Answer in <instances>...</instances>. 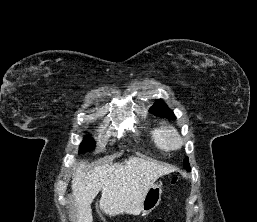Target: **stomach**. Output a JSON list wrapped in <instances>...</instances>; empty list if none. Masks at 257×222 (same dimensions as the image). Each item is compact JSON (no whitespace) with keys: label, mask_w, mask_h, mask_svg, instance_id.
<instances>
[{"label":"stomach","mask_w":257,"mask_h":222,"mask_svg":"<svg viewBox=\"0 0 257 222\" xmlns=\"http://www.w3.org/2000/svg\"><path fill=\"white\" fill-rule=\"evenodd\" d=\"M162 195L161 184H153L145 194L142 202L141 212L143 214H149L153 211L160 203Z\"/></svg>","instance_id":"stomach-1"}]
</instances>
